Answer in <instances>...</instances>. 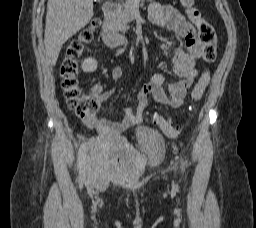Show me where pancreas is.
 Wrapping results in <instances>:
<instances>
[{
	"mask_svg": "<svg viewBox=\"0 0 256 228\" xmlns=\"http://www.w3.org/2000/svg\"><path fill=\"white\" fill-rule=\"evenodd\" d=\"M143 0H126L114 17H112L110 26L111 28L118 32L121 31L125 33L128 29V23L132 20L134 11L138 9L140 2Z\"/></svg>",
	"mask_w": 256,
	"mask_h": 228,
	"instance_id": "cf45deb5",
	"label": "pancreas"
}]
</instances>
